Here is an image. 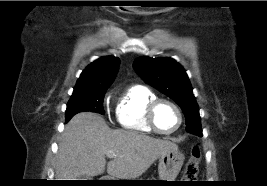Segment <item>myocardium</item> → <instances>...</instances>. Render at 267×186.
Returning <instances> with one entry per match:
<instances>
[{"label": "myocardium", "instance_id": "obj_1", "mask_svg": "<svg viewBox=\"0 0 267 186\" xmlns=\"http://www.w3.org/2000/svg\"><path fill=\"white\" fill-rule=\"evenodd\" d=\"M161 103H167V104L171 105L177 112L178 119H179L178 124L171 131H163V130L159 129V127L157 126V124L155 122V111H156L158 105ZM145 119H146L148 126L153 130V132L160 134V135H172V134L176 133L181 128V126L183 124V113H182V110L179 107V105L177 103H175L174 101H172L168 98L156 97L155 99L150 101L149 104L147 105L146 112H145Z\"/></svg>", "mask_w": 267, "mask_h": 186}]
</instances>
